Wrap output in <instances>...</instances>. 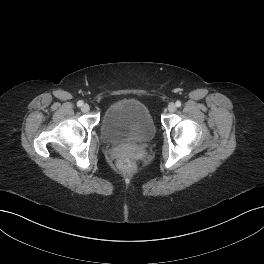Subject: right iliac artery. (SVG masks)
<instances>
[{"label": "right iliac artery", "mask_w": 264, "mask_h": 264, "mask_svg": "<svg viewBox=\"0 0 264 264\" xmlns=\"http://www.w3.org/2000/svg\"><path fill=\"white\" fill-rule=\"evenodd\" d=\"M82 105H83V101H78V102H77V106H78V107H81Z\"/></svg>", "instance_id": "right-iliac-artery-1"}]
</instances>
